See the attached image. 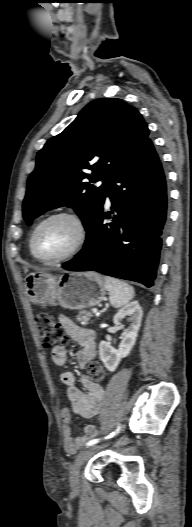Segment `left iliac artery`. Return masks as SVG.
<instances>
[{
  "label": "left iliac artery",
  "mask_w": 192,
  "mask_h": 527,
  "mask_svg": "<svg viewBox=\"0 0 192 527\" xmlns=\"http://www.w3.org/2000/svg\"><path fill=\"white\" fill-rule=\"evenodd\" d=\"M120 428H121V426L118 425V426H117V429H116L114 432H112L110 435H108L107 437H105V439L112 438L114 435H116V434L120 431ZM99 441H100V439H98V438H96V439H92V440H90V441L86 444V446H87V447H89V446H93V445H95L96 443H98Z\"/></svg>",
  "instance_id": "left-iliac-artery-1"
}]
</instances>
